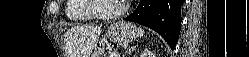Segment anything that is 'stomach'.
Returning <instances> with one entry per match:
<instances>
[{"label":"stomach","mask_w":249,"mask_h":57,"mask_svg":"<svg viewBox=\"0 0 249 57\" xmlns=\"http://www.w3.org/2000/svg\"><path fill=\"white\" fill-rule=\"evenodd\" d=\"M138 35L139 31L133 23L120 21L110 25L105 36L111 42L126 45L133 41ZM101 55L102 53L99 48H96L91 57H101Z\"/></svg>","instance_id":"stomach-1"}]
</instances>
